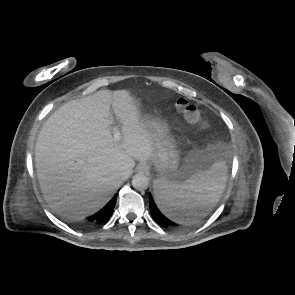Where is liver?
Segmentation results:
<instances>
[{
	"mask_svg": "<svg viewBox=\"0 0 295 295\" xmlns=\"http://www.w3.org/2000/svg\"><path fill=\"white\" fill-rule=\"evenodd\" d=\"M111 106L121 124L119 142L109 123ZM153 150V137L128 90L72 100L50 116L37 138L35 166L44 199L59 213L91 215L131 175L135 160H150Z\"/></svg>",
	"mask_w": 295,
	"mask_h": 295,
	"instance_id": "obj_1",
	"label": "liver"
}]
</instances>
